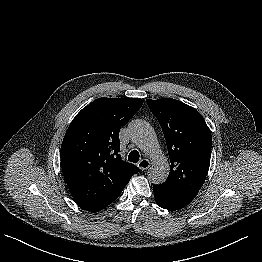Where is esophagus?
<instances>
[{"label":"esophagus","instance_id":"34e87169","mask_svg":"<svg viewBox=\"0 0 262 262\" xmlns=\"http://www.w3.org/2000/svg\"><path fill=\"white\" fill-rule=\"evenodd\" d=\"M137 166L141 169V170H147L150 167V162L148 159H142Z\"/></svg>","mask_w":262,"mask_h":262}]
</instances>
